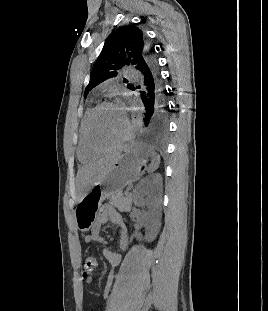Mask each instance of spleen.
Masks as SVG:
<instances>
[{"label":"spleen","instance_id":"1","mask_svg":"<svg viewBox=\"0 0 268 311\" xmlns=\"http://www.w3.org/2000/svg\"><path fill=\"white\" fill-rule=\"evenodd\" d=\"M148 153H149V156H151L152 158V162L148 168V172L149 173H152L154 172L158 167H159V164H160V156L157 155L152 149L148 148Z\"/></svg>","mask_w":268,"mask_h":311}]
</instances>
